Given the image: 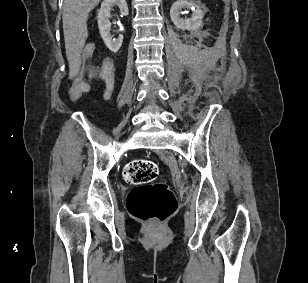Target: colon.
Returning <instances> with one entry per match:
<instances>
[{"mask_svg":"<svg viewBox=\"0 0 308 283\" xmlns=\"http://www.w3.org/2000/svg\"><path fill=\"white\" fill-rule=\"evenodd\" d=\"M94 52L93 42L87 43L81 50L73 86L70 89V96L74 100L89 90L86 78ZM157 175L156 163L146 159L132 160L123 170L124 180L134 186L127 198L130 214L153 224L161 223L169 218L177 205L176 198L167 184L152 183Z\"/></svg>","mask_w":308,"mask_h":283,"instance_id":"colon-1","label":"colon"}]
</instances>
